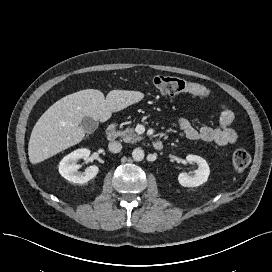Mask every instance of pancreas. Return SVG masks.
<instances>
[{
  "instance_id": "pancreas-1",
  "label": "pancreas",
  "mask_w": 272,
  "mask_h": 272,
  "mask_svg": "<svg viewBox=\"0 0 272 272\" xmlns=\"http://www.w3.org/2000/svg\"><path fill=\"white\" fill-rule=\"evenodd\" d=\"M119 136L123 139L126 143H136L140 140H142V137L137 135L134 132L133 128H126L125 130H122L119 132Z\"/></svg>"
}]
</instances>
